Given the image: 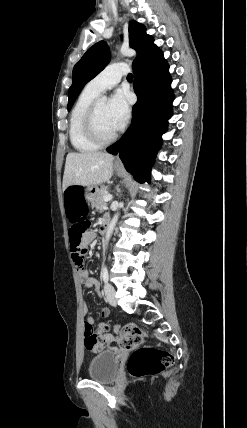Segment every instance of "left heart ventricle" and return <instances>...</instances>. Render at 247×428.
Returning a JSON list of instances; mask_svg holds the SVG:
<instances>
[{"instance_id":"obj_1","label":"left heart ventricle","mask_w":247,"mask_h":428,"mask_svg":"<svg viewBox=\"0 0 247 428\" xmlns=\"http://www.w3.org/2000/svg\"><path fill=\"white\" fill-rule=\"evenodd\" d=\"M96 127L103 137H108L116 131L108 118L107 103L104 101H100L97 107Z\"/></svg>"}]
</instances>
